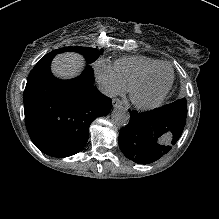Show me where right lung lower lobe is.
<instances>
[{"mask_svg": "<svg viewBox=\"0 0 219 219\" xmlns=\"http://www.w3.org/2000/svg\"><path fill=\"white\" fill-rule=\"evenodd\" d=\"M52 59L42 58L30 72L24 91L25 123L42 152L66 157L85 146L90 124L110 112L111 101L93 86L90 66L78 78L63 81L51 74Z\"/></svg>", "mask_w": 219, "mask_h": 219, "instance_id": "98d812e1", "label": "right lung lower lobe"}]
</instances>
